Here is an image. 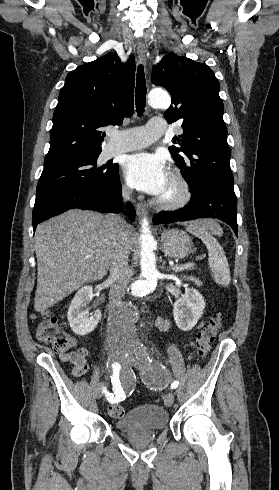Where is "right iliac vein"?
Wrapping results in <instances>:
<instances>
[{"mask_svg":"<svg viewBox=\"0 0 279 490\" xmlns=\"http://www.w3.org/2000/svg\"><path fill=\"white\" fill-rule=\"evenodd\" d=\"M108 359L110 362H115L117 360V357L115 356V354H109ZM101 394H102V391L98 390L97 397L100 398Z\"/></svg>","mask_w":279,"mask_h":490,"instance_id":"1","label":"right iliac vein"}]
</instances>
